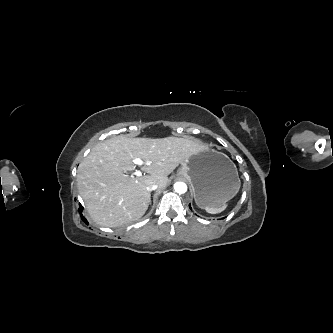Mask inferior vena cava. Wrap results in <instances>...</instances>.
I'll list each match as a JSON object with an SVG mask.
<instances>
[{"label":"inferior vena cava","instance_id":"obj_1","mask_svg":"<svg viewBox=\"0 0 333 333\" xmlns=\"http://www.w3.org/2000/svg\"><path fill=\"white\" fill-rule=\"evenodd\" d=\"M157 188H158V185H157L156 183H154V184L148 186V187H147V190H148V191H154V190H156Z\"/></svg>","mask_w":333,"mask_h":333}]
</instances>
